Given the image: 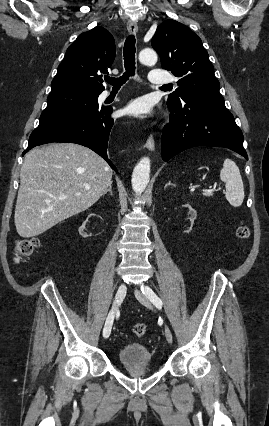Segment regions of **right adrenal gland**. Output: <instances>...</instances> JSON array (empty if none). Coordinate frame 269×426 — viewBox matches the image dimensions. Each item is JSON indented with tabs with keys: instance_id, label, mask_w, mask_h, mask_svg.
Wrapping results in <instances>:
<instances>
[{
	"instance_id": "1",
	"label": "right adrenal gland",
	"mask_w": 269,
	"mask_h": 426,
	"mask_svg": "<svg viewBox=\"0 0 269 426\" xmlns=\"http://www.w3.org/2000/svg\"><path fill=\"white\" fill-rule=\"evenodd\" d=\"M107 192H109L110 195H113V192H112V183H110L109 188L104 192L103 195L107 194Z\"/></svg>"
}]
</instances>
